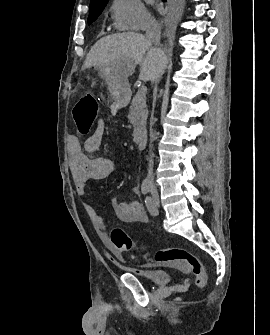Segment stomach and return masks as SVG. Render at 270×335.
Segmentation results:
<instances>
[{"mask_svg": "<svg viewBox=\"0 0 270 335\" xmlns=\"http://www.w3.org/2000/svg\"><path fill=\"white\" fill-rule=\"evenodd\" d=\"M103 74L104 81L108 84V90L113 104H118L120 108L127 106L130 100V88L128 84H123V82L114 78L113 70H110L108 67L103 69Z\"/></svg>", "mask_w": 270, "mask_h": 335, "instance_id": "obj_1", "label": "stomach"}]
</instances>
